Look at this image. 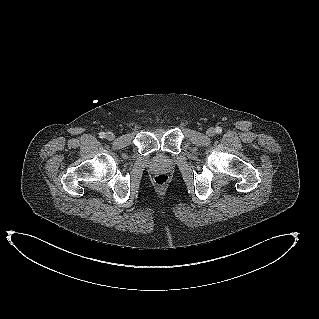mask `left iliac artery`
<instances>
[{"label": "left iliac artery", "instance_id": "obj_1", "mask_svg": "<svg viewBox=\"0 0 319 319\" xmlns=\"http://www.w3.org/2000/svg\"><path fill=\"white\" fill-rule=\"evenodd\" d=\"M216 133H221L222 132V129H221V127H216Z\"/></svg>", "mask_w": 319, "mask_h": 319}]
</instances>
